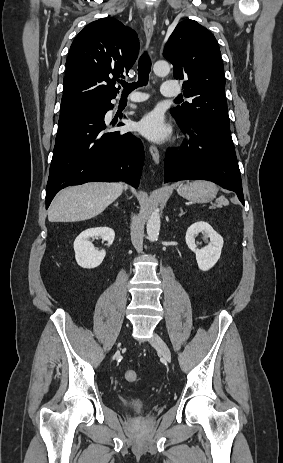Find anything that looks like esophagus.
Masks as SVG:
<instances>
[{
  "mask_svg": "<svg viewBox=\"0 0 283 463\" xmlns=\"http://www.w3.org/2000/svg\"><path fill=\"white\" fill-rule=\"evenodd\" d=\"M144 31L146 35L147 44H149L154 33V21L150 15L146 16L144 19ZM149 151L155 164H159L160 154L158 149L154 145H150Z\"/></svg>",
  "mask_w": 283,
  "mask_h": 463,
  "instance_id": "1",
  "label": "esophagus"
}]
</instances>
